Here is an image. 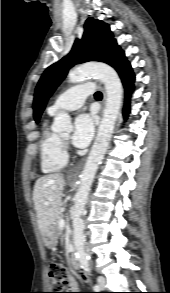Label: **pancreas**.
<instances>
[{
    "instance_id": "pancreas-1",
    "label": "pancreas",
    "mask_w": 170,
    "mask_h": 293,
    "mask_svg": "<svg viewBox=\"0 0 170 293\" xmlns=\"http://www.w3.org/2000/svg\"><path fill=\"white\" fill-rule=\"evenodd\" d=\"M63 219V213L60 211L59 214L57 215L55 222L52 224L51 226V230L55 233V234H60L61 233V228L59 227V220Z\"/></svg>"
}]
</instances>
